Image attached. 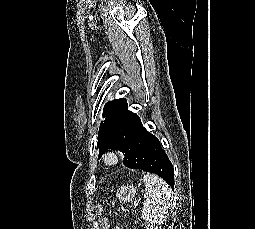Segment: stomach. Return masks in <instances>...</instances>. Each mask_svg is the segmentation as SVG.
I'll return each mask as SVG.
<instances>
[{
	"label": "stomach",
	"mask_w": 255,
	"mask_h": 229,
	"mask_svg": "<svg viewBox=\"0 0 255 229\" xmlns=\"http://www.w3.org/2000/svg\"><path fill=\"white\" fill-rule=\"evenodd\" d=\"M137 188L133 185L121 186L116 192V197L121 202H129L134 199Z\"/></svg>",
	"instance_id": "obj_1"
}]
</instances>
